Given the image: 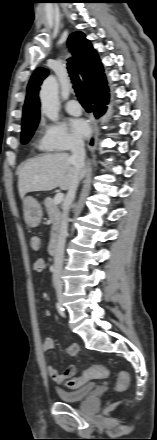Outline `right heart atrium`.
Returning a JSON list of instances; mask_svg holds the SVG:
<instances>
[{
	"mask_svg": "<svg viewBox=\"0 0 157 440\" xmlns=\"http://www.w3.org/2000/svg\"><path fill=\"white\" fill-rule=\"evenodd\" d=\"M41 142L47 150L57 151L81 145V140L71 134L63 123L44 124Z\"/></svg>",
	"mask_w": 157,
	"mask_h": 440,
	"instance_id": "obj_1",
	"label": "right heart atrium"
}]
</instances>
